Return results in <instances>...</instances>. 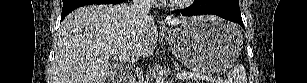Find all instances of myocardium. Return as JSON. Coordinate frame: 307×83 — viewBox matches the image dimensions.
Returning <instances> with one entry per match:
<instances>
[{
    "label": "myocardium",
    "instance_id": "1",
    "mask_svg": "<svg viewBox=\"0 0 307 83\" xmlns=\"http://www.w3.org/2000/svg\"><path fill=\"white\" fill-rule=\"evenodd\" d=\"M193 0H171L169 7L171 8H178V7H182L185 4L192 2Z\"/></svg>",
    "mask_w": 307,
    "mask_h": 83
}]
</instances>
